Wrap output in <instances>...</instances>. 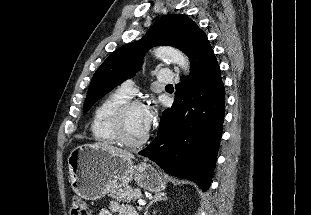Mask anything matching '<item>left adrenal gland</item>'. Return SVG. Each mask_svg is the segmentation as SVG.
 <instances>
[{"mask_svg":"<svg viewBox=\"0 0 311 215\" xmlns=\"http://www.w3.org/2000/svg\"><path fill=\"white\" fill-rule=\"evenodd\" d=\"M166 199H167V197H166V194H165V193H157V194H155L153 200H151L150 203L146 206L144 215H147V214H148V209H149V207H150L153 203L158 202V201H162V200H166Z\"/></svg>","mask_w":311,"mask_h":215,"instance_id":"1","label":"left adrenal gland"}]
</instances>
